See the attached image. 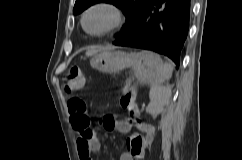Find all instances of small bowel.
<instances>
[{
	"instance_id": "1",
	"label": "small bowel",
	"mask_w": 242,
	"mask_h": 160,
	"mask_svg": "<svg viewBox=\"0 0 242 160\" xmlns=\"http://www.w3.org/2000/svg\"><path fill=\"white\" fill-rule=\"evenodd\" d=\"M68 112L73 128L80 134V137L77 140V149L80 160H93L92 153L101 150L100 141L93 135V133L91 136L85 137L84 133L90 129L77 127L69 109ZM101 124L106 131H116L121 134H127L131 132L132 127L140 129L149 134L151 133V128L148 125L141 123L140 121L130 122L120 120L112 115L103 117ZM146 146L147 140L142 134L139 132L130 133L127 138L128 150L120 156L119 160H142L145 156Z\"/></svg>"
}]
</instances>
